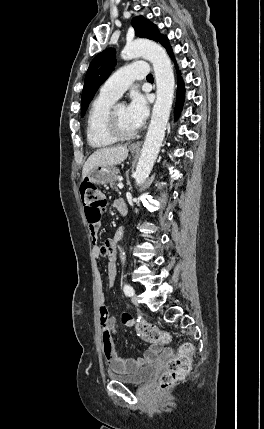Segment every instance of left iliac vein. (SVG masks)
<instances>
[{
  "mask_svg": "<svg viewBox=\"0 0 264 429\" xmlns=\"http://www.w3.org/2000/svg\"><path fill=\"white\" fill-rule=\"evenodd\" d=\"M131 299H132V302H133L134 305H136V306L139 305L138 297H137L136 294H133Z\"/></svg>",
  "mask_w": 264,
  "mask_h": 429,
  "instance_id": "4c4485c4",
  "label": "left iliac vein"
}]
</instances>
